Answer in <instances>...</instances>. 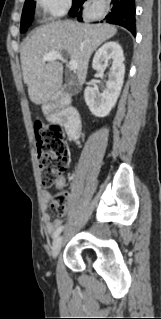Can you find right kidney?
I'll return each mask as SVG.
<instances>
[{
	"label": "right kidney",
	"mask_w": 161,
	"mask_h": 319,
	"mask_svg": "<svg viewBox=\"0 0 161 319\" xmlns=\"http://www.w3.org/2000/svg\"><path fill=\"white\" fill-rule=\"evenodd\" d=\"M108 61H111L112 66L109 79L106 82V90L99 93L97 88L87 87L84 92L85 102L91 113L96 117H105L110 113L123 86L124 54L121 46L116 42H107L96 51L92 67L98 73H102Z\"/></svg>",
	"instance_id": "obj_1"
}]
</instances>
